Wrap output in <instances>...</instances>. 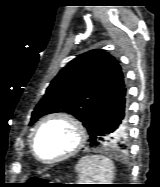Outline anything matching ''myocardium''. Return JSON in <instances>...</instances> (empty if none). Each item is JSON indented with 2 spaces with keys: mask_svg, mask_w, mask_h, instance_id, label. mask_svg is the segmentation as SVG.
Instances as JSON below:
<instances>
[{
  "mask_svg": "<svg viewBox=\"0 0 160 187\" xmlns=\"http://www.w3.org/2000/svg\"><path fill=\"white\" fill-rule=\"evenodd\" d=\"M52 120H62L64 122L68 123L69 125H71L77 135V142H76L75 146L67 153H65L59 157H56L54 159L46 160V159H43L42 157H40L36 151V138H37V135H38L39 131L41 130V128L46 123H48ZM86 140H87V130H86V127L84 126L83 122L79 118H77L73 114H70L67 112H56V113H52V114H49V115L43 117L36 124V126L34 127V129L32 131V134H31L30 148H31L32 154L39 162L44 163V164H55V163L61 162L63 160H66V159L76 155L84 147Z\"/></svg>",
  "mask_w": 160,
  "mask_h": 187,
  "instance_id": "myocardium-1",
  "label": "myocardium"
}]
</instances>
